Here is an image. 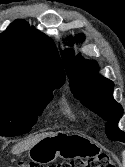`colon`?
<instances>
[{"label":"colon","instance_id":"obj_1","mask_svg":"<svg viewBox=\"0 0 125 167\" xmlns=\"http://www.w3.org/2000/svg\"><path fill=\"white\" fill-rule=\"evenodd\" d=\"M14 167H34L25 162H18ZM44 167V166H40ZM46 167H114L113 159L108 154H99L87 159H75L70 161L60 162Z\"/></svg>","mask_w":125,"mask_h":167}]
</instances>
